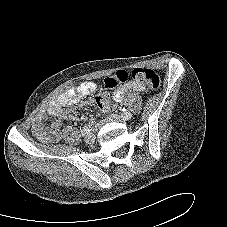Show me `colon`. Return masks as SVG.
I'll list each match as a JSON object with an SVG mask.
<instances>
[{"label": "colon", "instance_id": "5ec220e1", "mask_svg": "<svg viewBox=\"0 0 227 227\" xmlns=\"http://www.w3.org/2000/svg\"><path fill=\"white\" fill-rule=\"evenodd\" d=\"M128 76L127 71L119 70L112 76L105 79L104 89L96 96V102L99 108L106 109L108 107L109 93L107 90L115 88L126 82ZM131 77L151 90H156L160 86L159 75L154 70L149 68H135L131 71Z\"/></svg>", "mask_w": 227, "mask_h": 227}]
</instances>
